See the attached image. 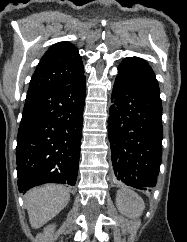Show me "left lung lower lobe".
<instances>
[{
	"mask_svg": "<svg viewBox=\"0 0 187 242\" xmlns=\"http://www.w3.org/2000/svg\"><path fill=\"white\" fill-rule=\"evenodd\" d=\"M108 136L117 180L141 190L154 187L162 156L160 92L117 75Z\"/></svg>",
	"mask_w": 187,
	"mask_h": 242,
	"instance_id": "0a47b994",
	"label": "left lung lower lobe"
}]
</instances>
